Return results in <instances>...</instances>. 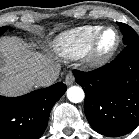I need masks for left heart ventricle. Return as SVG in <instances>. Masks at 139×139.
<instances>
[{
  "mask_svg": "<svg viewBox=\"0 0 139 139\" xmlns=\"http://www.w3.org/2000/svg\"><path fill=\"white\" fill-rule=\"evenodd\" d=\"M116 42V34L114 31L109 30L105 32L99 41V50L101 52L111 49Z\"/></svg>",
  "mask_w": 139,
  "mask_h": 139,
  "instance_id": "obj_1",
  "label": "left heart ventricle"
}]
</instances>
